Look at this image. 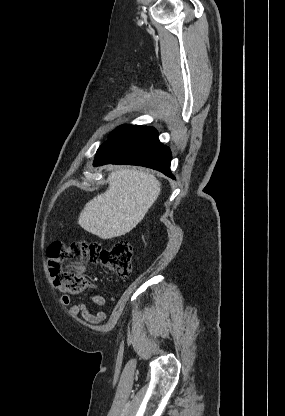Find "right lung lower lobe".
I'll use <instances>...</instances> for the list:
<instances>
[{"instance_id":"right-lung-lower-lobe-1","label":"right lung lower lobe","mask_w":285,"mask_h":416,"mask_svg":"<svg viewBox=\"0 0 285 416\" xmlns=\"http://www.w3.org/2000/svg\"><path fill=\"white\" fill-rule=\"evenodd\" d=\"M170 149L160 143L153 127L130 126L103 143L95 156L94 166L132 164L158 170L169 177Z\"/></svg>"}]
</instances>
